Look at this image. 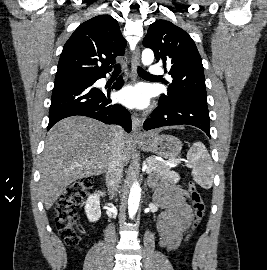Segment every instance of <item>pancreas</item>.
Segmentation results:
<instances>
[{"label":"pancreas","mask_w":267,"mask_h":270,"mask_svg":"<svg viewBox=\"0 0 267 270\" xmlns=\"http://www.w3.org/2000/svg\"><path fill=\"white\" fill-rule=\"evenodd\" d=\"M144 165H147L151 169L150 175H161L164 179L170 182H176V173L172 172L170 167L161 161L156 160L155 156H150L144 161Z\"/></svg>","instance_id":"obj_1"}]
</instances>
